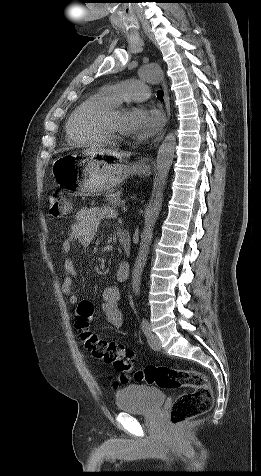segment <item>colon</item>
Listing matches in <instances>:
<instances>
[{
	"mask_svg": "<svg viewBox=\"0 0 261 476\" xmlns=\"http://www.w3.org/2000/svg\"><path fill=\"white\" fill-rule=\"evenodd\" d=\"M49 213L53 218H64L72 211L70 200L59 189L48 197ZM93 306L83 301L75 313V326L85 348L104 363L111 364L121 373L115 386L128 383L129 373L136 361L135 353L114 342H108L90 329ZM138 381L156 385L162 389L190 388L180 394L170 408V420L180 425L210 410L213 405V391L205 374L193 369H175L167 366L149 365L134 375Z\"/></svg>",
	"mask_w": 261,
	"mask_h": 476,
	"instance_id": "obj_1",
	"label": "colon"
}]
</instances>
